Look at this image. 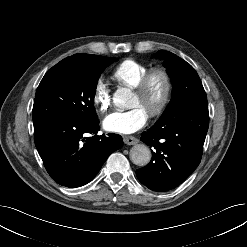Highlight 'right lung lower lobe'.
I'll use <instances>...</instances> for the list:
<instances>
[{"label":"right lung lower lobe","mask_w":247,"mask_h":247,"mask_svg":"<svg viewBox=\"0 0 247 247\" xmlns=\"http://www.w3.org/2000/svg\"><path fill=\"white\" fill-rule=\"evenodd\" d=\"M34 141L44 166L53 180L66 187L90 182L109 155L123 146L120 135H96L98 118L74 115L37 120ZM91 134V137H87Z\"/></svg>","instance_id":"right-lung-lower-lobe-1"}]
</instances>
